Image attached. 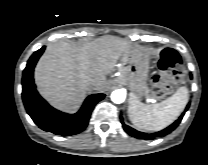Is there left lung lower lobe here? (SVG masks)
Listing matches in <instances>:
<instances>
[{
    "instance_id": "0a47b994",
    "label": "left lung lower lobe",
    "mask_w": 208,
    "mask_h": 165,
    "mask_svg": "<svg viewBox=\"0 0 208 165\" xmlns=\"http://www.w3.org/2000/svg\"><path fill=\"white\" fill-rule=\"evenodd\" d=\"M189 108V104L187 105L184 113H182V115L169 127H167L166 129L159 131L157 133H153V134H146V133H142L139 132L131 127H129L128 125L124 124L122 117H120L121 119V123L123 125L124 130L131 136L136 137L138 139H153L155 137H161V136H165L167 134H169L171 131H173L181 122L185 112L188 110Z\"/></svg>"
}]
</instances>
